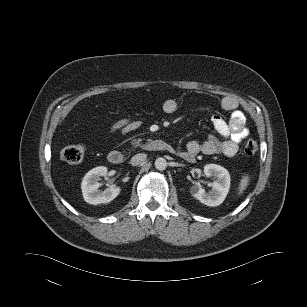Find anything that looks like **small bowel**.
Returning <instances> with one entry per match:
<instances>
[{"label": "small bowel", "instance_id": "c3829d8e", "mask_svg": "<svg viewBox=\"0 0 307 307\" xmlns=\"http://www.w3.org/2000/svg\"><path fill=\"white\" fill-rule=\"evenodd\" d=\"M220 106L223 110L229 111L230 117L224 119L220 114H214L211 117L212 124L218 134L209 136L205 141H190L187 143L182 157L187 160H193L198 154H223L227 157H233L238 151L239 143L248 135L249 131L245 125V117L239 110V103L233 97H223L220 100ZM179 108L176 100L168 99L162 109L165 113L172 114ZM141 126L139 121L130 118H123L115 122L109 129V134L121 133L127 135Z\"/></svg>", "mask_w": 307, "mask_h": 307}]
</instances>
